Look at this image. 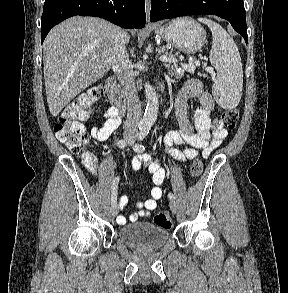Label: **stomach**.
Returning <instances> with one entry per match:
<instances>
[{"mask_svg":"<svg viewBox=\"0 0 288 293\" xmlns=\"http://www.w3.org/2000/svg\"><path fill=\"white\" fill-rule=\"evenodd\" d=\"M154 29L163 40L187 54L196 53L206 42L204 28L189 17L174 19Z\"/></svg>","mask_w":288,"mask_h":293,"instance_id":"obj_1","label":"stomach"}]
</instances>
